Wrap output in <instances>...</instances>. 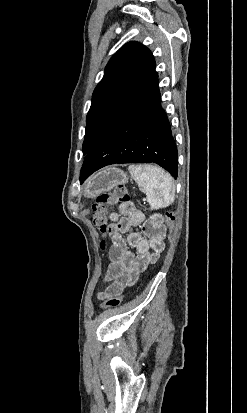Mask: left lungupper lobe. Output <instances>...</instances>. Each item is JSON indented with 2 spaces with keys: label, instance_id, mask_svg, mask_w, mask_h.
<instances>
[{
  "label": "left lung upper lobe",
  "instance_id": "left-lung-upper-lobe-1",
  "mask_svg": "<svg viewBox=\"0 0 247 413\" xmlns=\"http://www.w3.org/2000/svg\"><path fill=\"white\" fill-rule=\"evenodd\" d=\"M157 77L152 53L138 42L125 44L112 56L93 92L86 118L84 155Z\"/></svg>",
  "mask_w": 247,
  "mask_h": 413
}]
</instances>
